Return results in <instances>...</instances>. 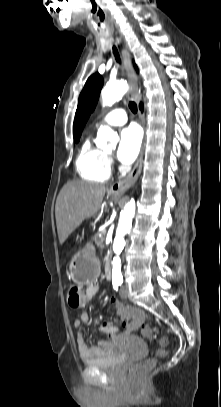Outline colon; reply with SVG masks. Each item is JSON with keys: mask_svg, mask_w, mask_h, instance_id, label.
Segmentation results:
<instances>
[{"mask_svg": "<svg viewBox=\"0 0 221 407\" xmlns=\"http://www.w3.org/2000/svg\"><path fill=\"white\" fill-rule=\"evenodd\" d=\"M84 294L74 286L71 291L67 293V306L70 311H82L84 304ZM115 316L122 318L126 322V326L131 330H140V332L147 338L154 339L156 336V329L151 328L145 324L146 316L142 309H136L134 305H118L116 307ZM164 344L167 339H163ZM167 350L161 349L156 352V358H162L167 355ZM155 358H149L144 361L134 364L129 370V380L133 385L141 383L146 373L154 366Z\"/></svg>", "mask_w": 221, "mask_h": 407, "instance_id": "obj_1", "label": "colon"}]
</instances>
